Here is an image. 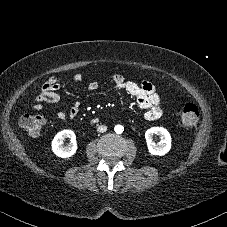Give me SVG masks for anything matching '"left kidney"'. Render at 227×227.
<instances>
[{"instance_id": "1", "label": "left kidney", "mask_w": 227, "mask_h": 227, "mask_svg": "<svg viewBox=\"0 0 227 227\" xmlns=\"http://www.w3.org/2000/svg\"><path fill=\"white\" fill-rule=\"evenodd\" d=\"M160 137V141L155 143L153 136ZM148 151L152 155L162 156L168 153L171 149V135L167 129L163 127H152L145 133Z\"/></svg>"}]
</instances>
